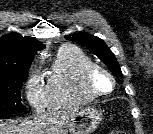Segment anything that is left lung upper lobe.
Segmentation results:
<instances>
[{
    "label": "left lung upper lobe",
    "mask_w": 153,
    "mask_h": 134,
    "mask_svg": "<svg viewBox=\"0 0 153 134\" xmlns=\"http://www.w3.org/2000/svg\"><path fill=\"white\" fill-rule=\"evenodd\" d=\"M65 38L67 40L76 42L81 46L87 47L91 52H93L94 55H96L107 65V67L114 75L117 77L122 76V72L115 58V55L111 52V50L102 39L85 32L67 35Z\"/></svg>",
    "instance_id": "left-lung-upper-lobe-1"
}]
</instances>
